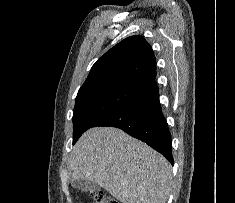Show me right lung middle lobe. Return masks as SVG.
Segmentation results:
<instances>
[{
  "label": "right lung middle lobe",
  "instance_id": "right-lung-middle-lobe-1",
  "mask_svg": "<svg viewBox=\"0 0 235 203\" xmlns=\"http://www.w3.org/2000/svg\"><path fill=\"white\" fill-rule=\"evenodd\" d=\"M127 82H109L78 91L73 111V144L100 119L148 91Z\"/></svg>",
  "mask_w": 235,
  "mask_h": 203
}]
</instances>
